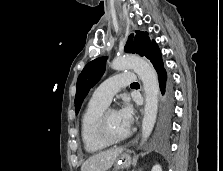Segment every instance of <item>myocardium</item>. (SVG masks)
Returning <instances> with one entry per match:
<instances>
[{"instance_id":"obj_1","label":"myocardium","mask_w":223,"mask_h":171,"mask_svg":"<svg viewBox=\"0 0 223 171\" xmlns=\"http://www.w3.org/2000/svg\"><path fill=\"white\" fill-rule=\"evenodd\" d=\"M114 111L116 110L113 108H105L100 113L95 123V135L97 139L105 145H113V144L120 143L126 140L131 134V131L129 130L124 136L117 139L111 138L108 135L107 130H106V119H107L108 114Z\"/></svg>"}]
</instances>
